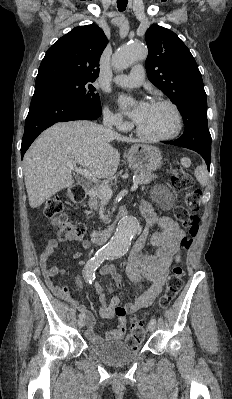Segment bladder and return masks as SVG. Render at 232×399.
Wrapping results in <instances>:
<instances>
[{
	"mask_svg": "<svg viewBox=\"0 0 232 399\" xmlns=\"http://www.w3.org/2000/svg\"><path fill=\"white\" fill-rule=\"evenodd\" d=\"M90 352L98 359L112 365H121L133 361L140 348H133L120 340H111L100 344H90Z\"/></svg>",
	"mask_w": 232,
	"mask_h": 399,
	"instance_id": "31cf9c89",
	"label": "bladder"
}]
</instances>
